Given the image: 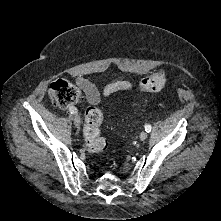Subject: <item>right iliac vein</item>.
Segmentation results:
<instances>
[{"instance_id":"right-iliac-vein-1","label":"right iliac vein","mask_w":221,"mask_h":221,"mask_svg":"<svg viewBox=\"0 0 221 221\" xmlns=\"http://www.w3.org/2000/svg\"><path fill=\"white\" fill-rule=\"evenodd\" d=\"M73 121H74L75 126L77 128H79L80 124H81V119H80V116L78 114L74 115Z\"/></svg>"}]
</instances>
